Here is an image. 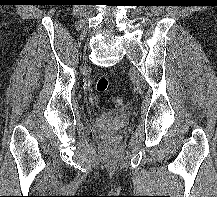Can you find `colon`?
<instances>
[{"label":"colon","instance_id":"colon-1","mask_svg":"<svg viewBox=\"0 0 217 197\" xmlns=\"http://www.w3.org/2000/svg\"><path fill=\"white\" fill-rule=\"evenodd\" d=\"M96 90L100 93L106 92L109 87V80L107 77H99L96 81ZM111 104L114 107H120L123 104V101L120 97H113L111 99Z\"/></svg>","mask_w":217,"mask_h":197}]
</instances>
